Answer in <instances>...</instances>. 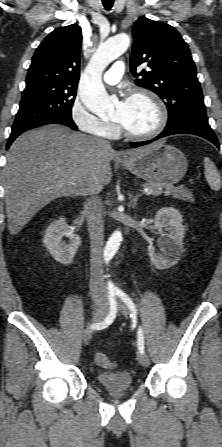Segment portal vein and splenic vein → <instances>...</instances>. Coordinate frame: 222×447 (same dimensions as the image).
<instances>
[{"instance_id": "18ae733b", "label": "portal vein and splenic vein", "mask_w": 222, "mask_h": 447, "mask_svg": "<svg viewBox=\"0 0 222 447\" xmlns=\"http://www.w3.org/2000/svg\"><path fill=\"white\" fill-rule=\"evenodd\" d=\"M159 190L161 191L162 189H159ZM143 192H145V193H149V192H150V189H149L148 187H146V188H144Z\"/></svg>"}]
</instances>
